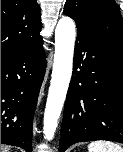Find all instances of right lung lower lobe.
Returning a JSON list of instances; mask_svg holds the SVG:
<instances>
[{
	"label": "right lung lower lobe",
	"instance_id": "right-lung-lower-lobe-1",
	"mask_svg": "<svg viewBox=\"0 0 123 152\" xmlns=\"http://www.w3.org/2000/svg\"><path fill=\"white\" fill-rule=\"evenodd\" d=\"M42 39L1 53V143L32 152V122L45 73Z\"/></svg>",
	"mask_w": 123,
	"mask_h": 152
}]
</instances>
